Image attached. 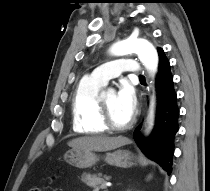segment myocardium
I'll return each mask as SVG.
<instances>
[{
  "label": "myocardium",
  "instance_id": "obj_1",
  "mask_svg": "<svg viewBox=\"0 0 210 191\" xmlns=\"http://www.w3.org/2000/svg\"><path fill=\"white\" fill-rule=\"evenodd\" d=\"M98 110L100 123L107 131H125L129 129L134 123V117H131V119L126 124L116 125L112 121L108 108L104 102V99L102 98H99Z\"/></svg>",
  "mask_w": 210,
  "mask_h": 191
}]
</instances>
